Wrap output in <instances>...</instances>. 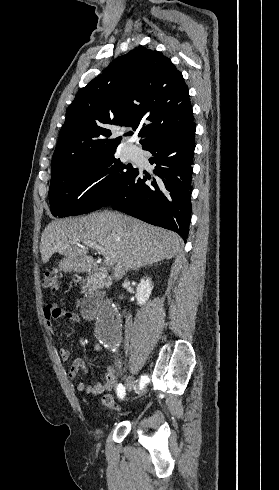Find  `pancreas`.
I'll return each mask as SVG.
<instances>
[{
    "label": "pancreas",
    "mask_w": 279,
    "mask_h": 490,
    "mask_svg": "<svg viewBox=\"0 0 279 490\" xmlns=\"http://www.w3.org/2000/svg\"><path fill=\"white\" fill-rule=\"evenodd\" d=\"M107 282V276L104 272H92L84 282H82V292L80 294H84V296H90V294H94L97 288H103Z\"/></svg>",
    "instance_id": "cf45deb5"
}]
</instances>
